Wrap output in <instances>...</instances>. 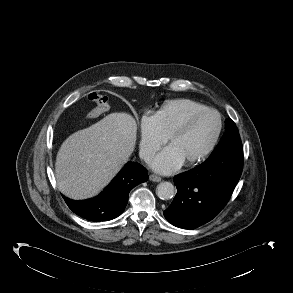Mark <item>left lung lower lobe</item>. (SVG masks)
<instances>
[{"instance_id":"1","label":"left lung lower lobe","mask_w":293,"mask_h":293,"mask_svg":"<svg viewBox=\"0 0 293 293\" xmlns=\"http://www.w3.org/2000/svg\"><path fill=\"white\" fill-rule=\"evenodd\" d=\"M243 169L241 146L221 151L213 163L174 177L177 194L164 211L165 218L174 226L197 228L212 220L227 204Z\"/></svg>"}]
</instances>
